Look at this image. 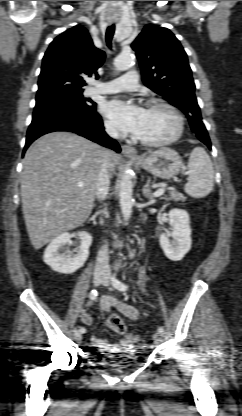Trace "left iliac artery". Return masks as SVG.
I'll use <instances>...</instances> for the list:
<instances>
[{"instance_id":"obj_1","label":"left iliac artery","mask_w":242,"mask_h":416,"mask_svg":"<svg viewBox=\"0 0 242 416\" xmlns=\"http://www.w3.org/2000/svg\"><path fill=\"white\" fill-rule=\"evenodd\" d=\"M112 284L116 289L120 291H126L128 289V286L124 284L123 282H121L120 280L116 279L115 275L112 277ZM158 332L160 334H164L163 327H159Z\"/></svg>"}]
</instances>
